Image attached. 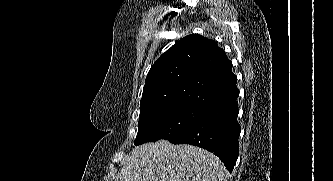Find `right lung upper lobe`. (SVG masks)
Here are the masks:
<instances>
[{"mask_svg":"<svg viewBox=\"0 0 333 181\" xmlns=\"http://www.w3.org/2000/svg\"><path fill=\"white\" fill-rule=\"evenodd\" d=\"M232 63L213 40L188 35L149 70L140 110L187 104L207 108L239 95Z\"/></svg>","mask_w":333,"mask_h":181,"instance_id":"cb5924a9","label":"right lung upper lobe"}]
</instances>
